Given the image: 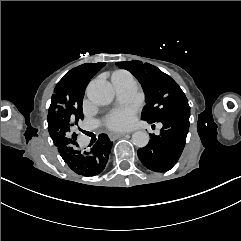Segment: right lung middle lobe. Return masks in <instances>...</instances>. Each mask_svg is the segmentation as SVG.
Returning <instances> with one entry per match:
<instances>
[{
	"instance_id": "obj_1",
	"label": "right lung middle lobe",
	"mask_w": 241,
	"mask_h": 241,
	"mask_svg": "<svg viewBox=\"0 0 241 241\" xmlns=\"http://www.w3.org/2000/svg\"><path fill=\"white\" fill-rule=\"evenodd\" d=\"M105 63H86L70 70L56 85L48 112V124L62 137L63 145L73 144L74 132L83 119L82 101L91 78Z\"/></svg>"
}]
</instances>
